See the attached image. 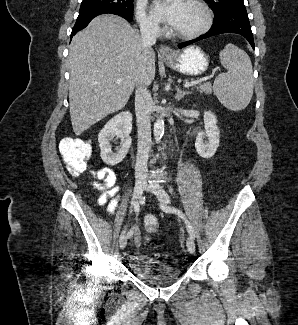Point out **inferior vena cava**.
<instances>
[{"mask_svg": "<svg viewBox=\"0 0 298 325\" xmlns=\"http://www.w3.org/2000/svg\"><path fill=\"white\" fill-rule=\"evenodd\" d=\"M140 34L143 48H149L156 44L157 28L154 22L141 18ZM154 108L153 98L150 90L145 84H137L135 90V112L138 128V144L135 165V179H146L148 177V158L151 140V114Z\"/></svg>", "mask_w": 298, "mask_h": 325, "instance_id": "obj_1", "label": "inferior vena cava"}]
</instances>
